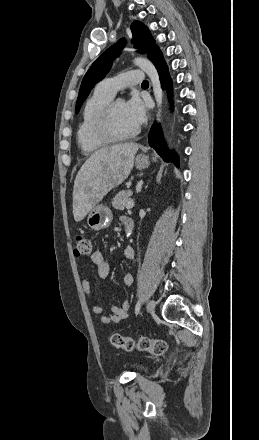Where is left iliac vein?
<instances>
[{
    "label": "left iliac vein",
    "instance_id": "obj_1",
    "mask_svg": "<svg viewBox=\"0 0 259 440\" xmlns=\"http://www.w3.org/2000/svg\"><path fill=\"white\" fill-rule=\"evenodd\" d=\"M155 311V302L154 300H149L147 303V312L152 314Z\"/></svg>",
    "mask_w": 259,
    "mask_h": 440
}]
</instances>
